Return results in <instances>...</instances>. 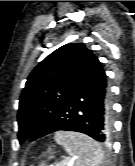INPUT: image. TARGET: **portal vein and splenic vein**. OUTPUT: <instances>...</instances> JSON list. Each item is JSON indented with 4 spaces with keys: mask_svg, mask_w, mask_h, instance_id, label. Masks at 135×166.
Listing matches in <instances>:
<instances>
[{
    "mask_svg": "<svg viewBox=\"0 0 135 166\" xmlns=\"http://www.w3.org/2000/svg\"><path fill=\"white\" fill-rule=\"evenodd\" d=\"M72 163H73L72 160L66 159V160L62 161L61 163H56L54 166H67Z\"/></svg>",
    "mask_w": 135,
    "mask_h": 166,
    "instance_id": "1",
    "label": "portal vein and splenic vein"
}]
</instances>
